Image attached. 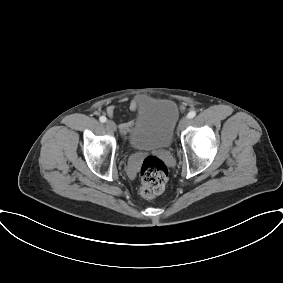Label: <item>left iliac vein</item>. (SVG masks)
<instances>
[{
    "label": "left iliac vein",
    "mask_w": 283,
    "mask_h": 283,
    "mask_svg": "<svg viewBox=\"0 0 283 283\" xmlns=\"http://www.w3.org/2000/svg\"><path fill=\"white\" fill-rule=\"evenodd\" d=\"M188 123H189V119L187 117L182 118L179 123V129L183 130L187 126Z\"/></svg>",
    "instance_id": "1"
}]
</instances>
